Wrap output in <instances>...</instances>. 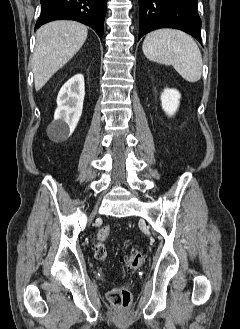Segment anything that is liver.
<instances>
[{
	"label": "liver",
	"instance_id": "1",
	"mask_svg": "<svg viewBox=\"0 0 240 329\" xmlns=\"http://www.w3.org/2000/svg\"><path fill=\"white\" fill-rule=\"evenodd\" d=\"M87 35V27L75 21H53L40 27L32 58L36 91L80 50Z\"/></svg>",
	"mask_w": 240,
	"mask_h": 329
}]
</instances>
